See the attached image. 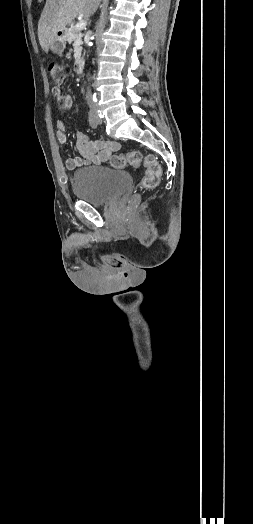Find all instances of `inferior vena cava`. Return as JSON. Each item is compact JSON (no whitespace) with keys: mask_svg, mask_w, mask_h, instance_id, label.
Listing matches in <instances>:
<instances>
[{"mask_svg":"<svg viewBox=\"0 0 253 524\" xmlns=\"http://www.w3.org/2000/svg\"><path fill=\"white\" fill-rule=\"evenodd\" d=\"M87 103H88V105H93L94 104L90 91H88V94H87Z\"/></svg>","mask_w":253,"mask_h":524,"instance_id":"1","label":"inferior vena cava"}]
</instances>
